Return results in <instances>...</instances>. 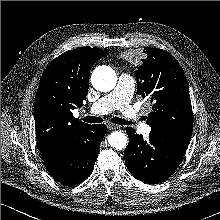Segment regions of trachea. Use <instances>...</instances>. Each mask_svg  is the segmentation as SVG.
I'll return each instance as SVG.
<instances>
[{"mask_svg": "<svg viewBox=\"0 0 220 220\" xmlns=\"http://www.w3.org/2000/svg\"><path fill=\"white\" fill-rule=\"evenodd\" d=\"M82 120L87 123H101V122H103V119H101L100 117H95V116H86ZM112 123L119 124V125L132 124L131 122H128V121H126L122 118H119V117L112 118Z\"/></svg>", "mask_w": 220, "mask_h": 220, "instance_id": "1", "label": "trachea"}]
</instances>
